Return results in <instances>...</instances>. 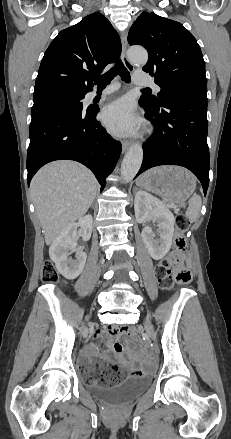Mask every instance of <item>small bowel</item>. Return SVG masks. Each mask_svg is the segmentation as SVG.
Wrapping results in <instances>:
<instances>
[{"instance_id": "obj_1", "label": "small bowel", "mask_w": 231, "mask_h": 439, "mask_svg": "<svg viewBox=\"0 0 231 439\" xmlns=\"http://www.w3.org/2000/svg\"><path fill=\"white\" fill-rule=\"evenodd\" d=\"M117 336L118 332L116 329L97 330L93 336L92 343L86 349L87 358L95 360L94 363L96 365H98L96 361L99 358V360L108 368L114 366V364H120L129 367L134 374H141V370L136 367L134 355L116 341ZM104 337L109 344L112 356H109L108 354H99L98 352L97 346L101 343Z\"/></svg>"}]
</instances>
